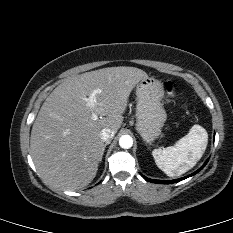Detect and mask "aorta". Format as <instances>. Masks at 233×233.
I'll return each instance as SVG.
<instances>
[{"label":"aorta","instance_id":"obj_1","mask_svg":"<svg viewBox=\"0 0 233 233\" xmlns=\"http://www.w3.org/2000/svg\"><path fill=\"white\" fill-rule=\"evenodd\" d=\"M119 145L123 149H129L133 145V139L130 135H122L119 139Z\"/></svg>","mask_w":233,"mask_h":233}]
</instances>
